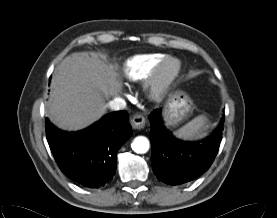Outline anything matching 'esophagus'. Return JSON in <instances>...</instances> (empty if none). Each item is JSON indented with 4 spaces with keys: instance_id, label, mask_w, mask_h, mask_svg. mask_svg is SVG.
Here are the masks:
<instances>
[{
    "instance_id": "obj_1",
    "label": "esophagus",
    "mask_w": 277,
    "mask_h": 218,
    "mask_svg": "<svg viewBox=\"0 0 277 218\" xmlns=\"http://www.w3.org/2000/svg\"><path fill=\"white\" fill-rule=\"evenodd\" d=\"M146 119L142 114H136L131 119V125L134 129H142L145 126Z\"/></svg>"
}]
</instances>
